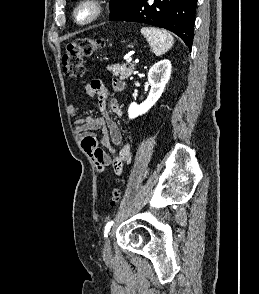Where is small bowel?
I'll return each instance as SVG.
<instances>
[{"mask_svg": "<svg viewBox=\"0 0 259 294\" xmlns=\"http://www.w3.org/2000/svg\"><path fill=\"white\" fill-rule=\"evenodd\" d=\"M124 82L119 79L112 81V89L120 92L124 89ZM85 92L91 97H96L100 116L78 118L73 123V132L78 137L83 150L91 157L97 168L102 171L111 166L116 175H120L124 165L132 159L130 144H124L117 153H107L99 145L110 147L119 146L124 141V136L118 125L110 118V114L122 116V108L118 101L110 100L107 86L99 79H94L85 85ZM68 114L71 117L78 115V107L70 105ZM101 132V138H96V132Z\"/></svg>", "mask_w": 259, "mask_h": 294, "instance_id": "small-bowel-1", "label": "small bowel"}]
</instances>
